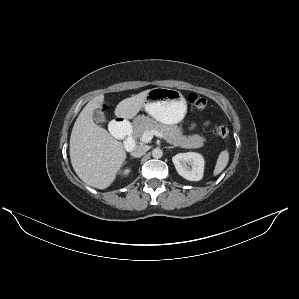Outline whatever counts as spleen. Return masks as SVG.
<instances>
[{
    "instance_id": "3e777b00",
    "label": "spleen",
    "mask_w": 299,
    "mask_h": 299,
    "mask_svg": "<svg viewBox=\"0 0 299 299\" xmlns=\"http://www.w3.org/2000/svg\"><path fill=\"white\" fill-rule=\"evenodd\" d=\"M228 161H229V151L223 150L218 156L217 163L215 165V169L213 172L214 176H217L226 168Z\"/></svg>"
}]
</instances>
